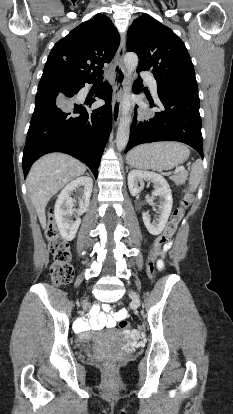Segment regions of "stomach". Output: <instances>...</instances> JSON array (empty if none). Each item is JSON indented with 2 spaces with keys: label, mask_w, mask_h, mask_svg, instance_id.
I'll use <instances>...</instances> for the list:
<instances>
[{
  "label": "stomach",
  "mask_w": 233,
  "mask_h": 414,
  "mask_svg": "<svg viewBox=\"0 0 233 414\" xmlns=\"http://www.w3.org/2000/svg\"><path fill=\"white\" fill-rule=\"evenodd\" d=\"M188 148L177 142L145 144L127 156L128 164L136 168L169 170L189 157Z\"/></svg>",
  "instance_id": "0dacf381"
}]
</instances>
